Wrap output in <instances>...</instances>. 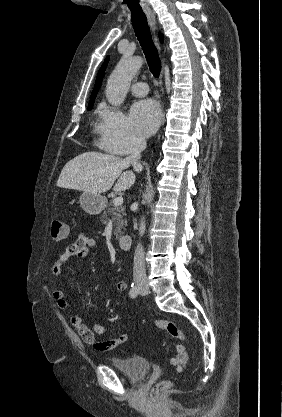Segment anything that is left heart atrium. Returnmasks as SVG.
I'll list each match as a JSON object with an SVG mask.
<instances>
[{"instance_id": "left-heart-atrium-1", "label": "left heart atrium", "mask_w": 282, "mask_h": 417, "mask_svg": "<svg viewBox=\"0 0 282 417\" xmlns=\"http://www.w3.org/2000/svg\"><path fill=\"white\" fill-rule=\"evenodd\" d=\"M160 108L153 100H142L135 103L130 111V122L138 132L151 133L160 121Z\"/></svg>"}]
</instances>
